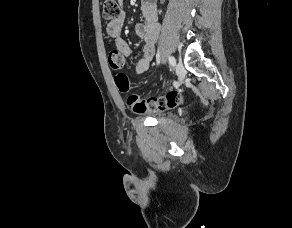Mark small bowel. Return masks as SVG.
<instances>
[{"label":"small bowel","mask_w":292,"mask_h":228,"mask_svg":"<svg viewBox=\"0 0 292 228\" xmlns=\"http://www.w3.org/2000/svg\"><path fill=\"white\" fill-rule=\"evenodd\" d=\"M122 2V0H119ZM142 22L135 26V34L143 42L142 55L135 65V72L142 74L146 72L155 53V44L159 35L160 26L157 18V10L153 2L143 1L141 4ZM125 13L122 12L118 20L107 25L108 36L114 39L115 50L121 57H128L132 54V48L121 36V29L124 23Z\"/></svg>","instance_id":"obj_1"}]
</instances>
